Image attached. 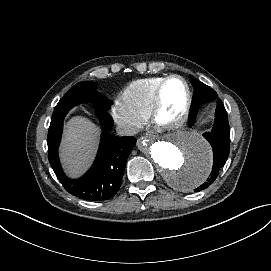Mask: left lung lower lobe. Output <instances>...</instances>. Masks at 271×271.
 Masks as SVG:
<instances>
[{"label":"left lung lower lobe","mask_w":271,"mask_h":271,"mask_svg":"<svg viewBox=\"0 0 271 271\" xmlns=\"http://www.w3.org/2000/svg\"><path fill=\"white\" fill-rule=\"evenodd\" d=\"M196 112L190 114V126L193 125L196 118ZM204 138L210 143L213 149V168L210 177L199 186L196 191H201L210 186L219 175L220 170L225 165L230 150V127L227 112L221 101L217 99L215 111V123L211 132L203 134Z\"/></svg>","instance_id":"0a47b994"}]
</instances>
